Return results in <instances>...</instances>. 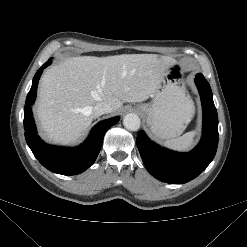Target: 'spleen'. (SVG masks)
Returning a JSON list of instances; mask_svg holds the SVG:
<instances>
[{
  "label": "spleen",
  "instance_id": "3e777b00",
  "mask_svg": "<svg viewBox=\"0 0 247 247\" xmlns=\"http://www.w3.org/2000/svg\"><path fill=\"white\" fill-rule=\"evenodd\" d=\"M189 103L192 104L190 100ZM196 135L197 131L193 130L175 139L165 141L164 145L173 150L186 151L193 145Z\"/></svg>",
  "mask_w": 247,
  "mask_h": 247
}]
</instances>
